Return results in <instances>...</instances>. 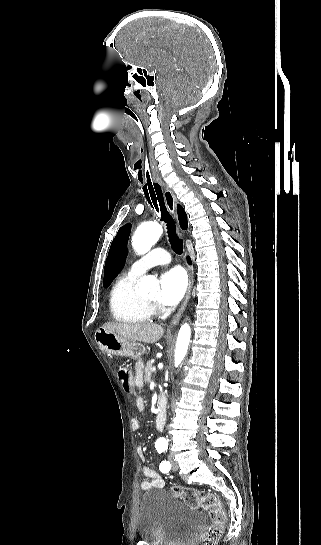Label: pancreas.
I'll return each instance as SVG.
<instances>
[{
	"label": "pancreas",
	"mask_w": 321,
	"mask_h": 545,
	"mask_svg": "<svg viewBox=\"0 0 321 545\" xmlns=\"http://www.w3.org/2000/svg\"><path fill=\"white\" fill-rule=\"evenodd\" d=\"M153 369H154L153 363H150V361H148L145 367V383H152L151 379H152V373H154Z\"/></svg>",
	"instance_id": "obj_1"
}]
</instances>
